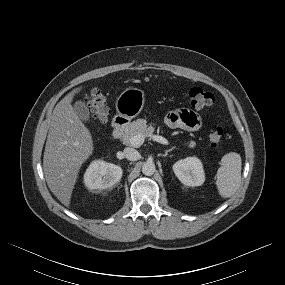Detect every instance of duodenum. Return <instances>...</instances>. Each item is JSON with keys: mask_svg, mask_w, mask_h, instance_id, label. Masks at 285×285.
<instances>
[{"mask_svg": "<svg viewBox=\"0 0 285 285\" xmlns=\"http://www.w3.org/2000/svg\"><path fill=\"white\" fill-rule=\"evenodd\" d=\"M126 126H127V120L122 117H117L113 122L112 137L113 138L121 137Z\"/></svg>", "mask_w": 285, "mask_h": 285, "instance_id": "1", "label": "duodenum"}]
</instances>
